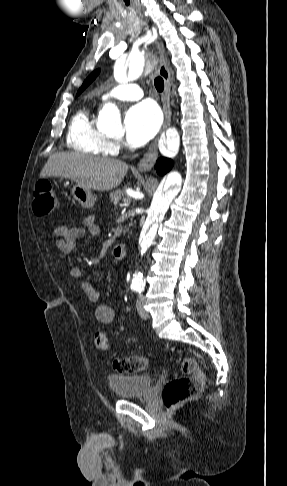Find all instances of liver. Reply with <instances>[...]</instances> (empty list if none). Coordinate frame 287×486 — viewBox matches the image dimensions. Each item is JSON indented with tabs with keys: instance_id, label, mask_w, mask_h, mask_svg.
<instances>
[{
	"instance_id": "1",
	"label": "liver",
	"mask_w": 287,
	"mask_h": 486,
	"mask_svg": "<svg viewBox=\"0 0 287 486\" xmlns=\"http://www.w3.org/2000/svg\"><path fill=\"white\" fill-rule=\"evenodd\" d=\"M127 171L128 165L120 160L62 152L49 157L40 178H67L90 189L109 191L122 182Z\"/></svg>"
}]
</instances>
